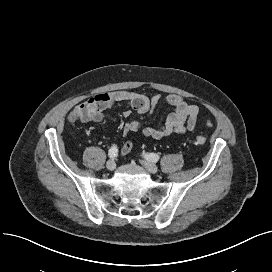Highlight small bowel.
<instances>
[{
	"instance_id": "1",
	"label": "small bowel",
	"mask_w": 272,
	"mask_h": 272,
	"mask_svg": "<svg viewBox=\"0 0 272 272\" xmlns=\"http://www.w3.org/2000/svg\"><path fill=\"white\" fill-rule=\"evenodd\" d=\"M162 96L155 94L151 97L130 90H117L109 93H99L88 97L84 102L77 105L68 115L70 122H100L104 118V112L111 104L116 102L126 103L140 118L151 114L161 102ZM166 104L173 107V111L166 117L161 125L145 126L138 120L128 121L123 127V135L141 133L145 137L156 140L165 138L171 134H183L193 131L196 127L199 109L196 105L188 103L178 94H169L164 98ZM125 117L131 115L129 109L123 112ZM209 124V122H208ZM132 144L126 142L121 153L131 151Z\"/></svg>"
}]
</instances>
